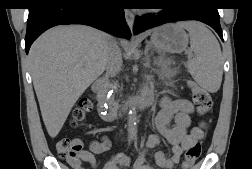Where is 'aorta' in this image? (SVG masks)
<instances>
[{
	"mask_svg": "<svg viewBox=\"0 0 252 169\" xmlns=\"http://www.w3.org/2000/svg\"><path fill=\"white\" fill-rule=\"evenodd\" d=\"M127 131H128V138L134 139L137 134V111L136 107L133 104L128 113L127 119Z\"/></svg>",
	"mask_w": 252,
	"mask_h": 169,
	"instance_id": "obj_1",
	"label": "aorta"
}]
</instances>
